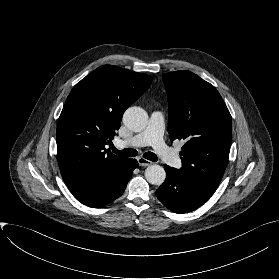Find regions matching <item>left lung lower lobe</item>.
Segmentation results:
<instances>
[{"label": "left lung lower lobe", "instance_id": "left-lung-lower-lobe-1", "mask_svg": "<svg viewBox=\"0 0 279 279\" xmlns=\"http://www.w3.org/2000/svg\"><path fill=\"white\" fill-rule=\"evenodd\" d=\"M166 179L156 190L157 198L171 211L186 213L203 205L215 192L198 180L183 176L179 170L164 167Z\"/></svg>", "mask_w": 279, "mask_h": 279}]
</instances>
